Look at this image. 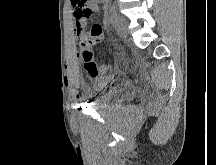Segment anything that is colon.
<instances>
[{
	"label": "colon",
	"mask_w": 216,
	"mask_h": 165,
	"mask_svg": "<svg viewBox=\"0 0 216 165\" xmlns=\"http://www.w3.org/2000/svg\"><path fill=\"white\" fill-rule=\"evenodd\" d=\"M86 0H72L73 5H85ZM103 36V28L100 24H94L87 33V39L80 44V57L85 66L96 74H104L110 70L111 66L106 64H97L93 59L91 46L99 43Z\"/></svg>",
	"instance_id": "1"
}]
</instances>
